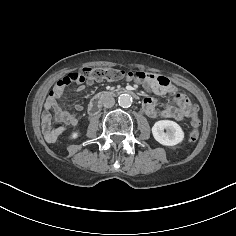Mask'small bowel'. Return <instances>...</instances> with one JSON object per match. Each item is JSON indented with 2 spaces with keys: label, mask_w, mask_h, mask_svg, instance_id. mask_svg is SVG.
Listing matches in <instances>:
<instances>
[{
  "label": "small bowel",
  "mask_w": 236,
  "mask_h": 236,
  "mask_svg": "<svg viewBox=\"0 0 236 236\" xmlns=\"http://www.w3.org/2000/svg\"><path fill=\"white\" fill-rule=\"evenodd\" d=\"M128 75L129 80L142 82L148 90L158 96L173 94L171 101L165 103L161 111L157 110L156 100L153 98H145L143 100V109L145 113L152 117H163L182 121L191 116V102L187 96L180 93L171 83L169 78L163 75L142 72L145 77L142 80H135ZM84 85H79L77 92H82ZM64 95L54 91L45 101L44 110L41 116L44 137L49 143H56L60 137L66 133L69 127L76 126L78 123L77 116L63 108ZM75 109L81 111L83 106L81 103L75 104ZM53 113V114H52ZM55 122V125L53 124Z\"/></svg>",
  "instance_id": "1"
}]
</instances>
